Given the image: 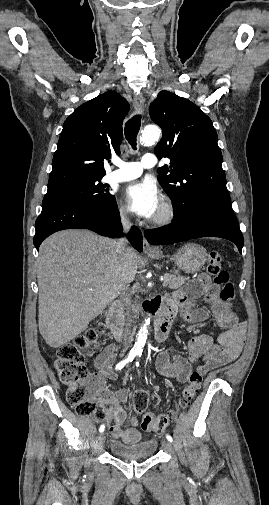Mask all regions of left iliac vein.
Returning <instances> with one entry per match:
<instances>
[{
  "label": "left iliac vein",
  "instance_id": "4c4485c4",
  "mask_svg": "<svg viewBox=\"0 0 269 505\" xmlns=\"http://www.w3.org/2000/svg\"><path fill=\"white\" fill-rule=\"evenodd\" d=\"M162 446L166 451H171L172 449L171 443L167 440H162Z\"/></svg>",
  "mask_w": 269,
  "mask_h": 505
}]
</instances>
